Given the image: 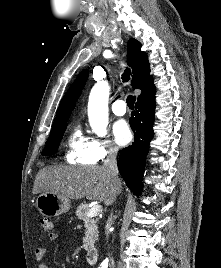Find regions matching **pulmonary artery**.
<instances>
[{
	"instance_id": "1",
	"label": "pulmonary artery",
	"mask_w": 221,
	"mask_h": 268,
	"mask_svg": "<svg viewBox=\"0 0 221 268\" xmlns=\"http://www.w3.org/2000/svg\"><path fill=\"white\" fill-rule=\"evenodd\" d=\"M111 109L113 111V113L117 116H123L126 113V104L125 101L123 100H117L115 101L112 106Z\"/></svg>"
}]
</instances>
